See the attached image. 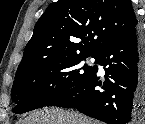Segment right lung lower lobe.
<instances>
[{"label": "right lung lower lobe", "instance_id": "obj_1", "mask_svg": "<svg viewBox=\"0 0 145 124\" xmlns=\"http://www.w3.org/2000/svg\"><path fill=\"white\" fill-rule=\"evenodd\" d=\"M91 74L45 106L74 108L108 124H135L145 109V35L137 25L97 54Z\"/></svg>", "mask_w": 145, "mask_h": 124}]
</instances>
